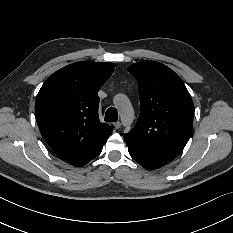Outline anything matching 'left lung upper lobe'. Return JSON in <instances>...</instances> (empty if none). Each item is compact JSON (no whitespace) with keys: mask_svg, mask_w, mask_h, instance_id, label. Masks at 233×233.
I'll return each instance as SVG.
<instances>
[{"mask_svg":"<svg viewBox=\"0 0 233 233\" xmlns=\"http://www.w3.org/2000/svg\"><path fill=\"white\" fill-rule=\"evenodd\" d=\"M128 71L139 84L141 113L124 136L176 157L190 139L194 105L181 78L167 66L143 61Z\"/></svg>","mask_w":233,"mask_h":233,"instance_id":"5c2ea615","label":"left lung upper lobe"}]
</instances>
